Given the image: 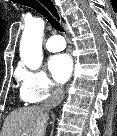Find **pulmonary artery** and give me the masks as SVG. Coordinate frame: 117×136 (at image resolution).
Segmentation results:
<instances>
[{"mask_svg":"<svg viewBox=\"0 0 117 136\" xmlns=\"http://www.w3.org/2000/svg\"><path fill=\"white\" fill-rule=\"evenodd\" d=\"M65 46L66 43L63 38L57 35L51 36L45 44L46 49L50 52L61 51L65 48Z\"/></svg>","mask_w":117,"mask_h":136,"instance_id":"1","label":"pulmonary artery"}]
</instances>
